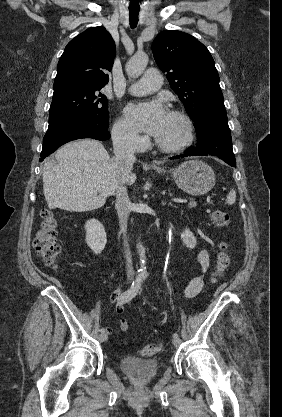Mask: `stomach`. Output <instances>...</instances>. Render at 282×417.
Segmentation results:
<instances>
[{"label": "stomach", "mask_w": 282, "mask_h": 417, "mask_svg": "<svg viewBox=\"0 0 282 417\" xmlns=\"http://www.w3.org/2000/svg\"><path fill=\"white\" fill-rule=\"evenodd\" d=\"M157 172H171L177 186L188 194H206L215 184V174L206 162L202 160H186L177 168H162L154 166Z\"/></svg>", "instance_id": "0dacf381"}]
</instances>
